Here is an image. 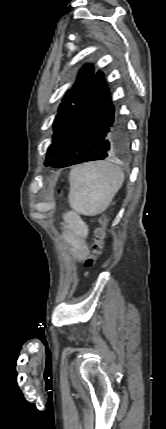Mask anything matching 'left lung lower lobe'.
I'll use <instances>...</instances> for the list:
<instances>
[{
    "label": "left lung lower lobe",
    "instance_id": "1",
    "mask_svg": "<svg viewBox=\"0 0 166 429\" xmlns=\"http://www.w3.org/2000/svg\"><path fill=\"white\" fill-rule=\"evenodd\" d=\"M128 139L124 121L115 114L104 75L92 76L75 104L55 153L45 166L63 168L101 160L124 151Z\"/></svg>",
    "mask_w": 166,
    "mask_h": 429
}]
</instances>
